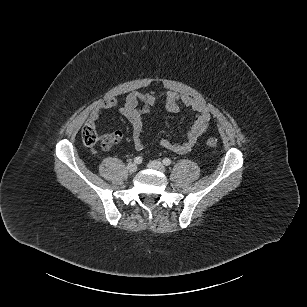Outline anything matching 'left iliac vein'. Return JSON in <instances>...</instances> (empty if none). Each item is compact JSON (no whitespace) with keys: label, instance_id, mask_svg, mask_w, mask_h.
Masks as SVG:
<instances>
[{"label":"left iliac vein","instance_id":"obj_1","mask_svg":"<svg viewBox=\"0 0 307 307\" xmlns=\"http://www.w3.org/2000/svg\"><path fill=\"white\" fill-rule=\"evenodd\" d=\"M148 168L160 171L162 173H165L166 171L165 166L160 161L157 160L150 161L148 163Z\"/></svg>","mask_w":307,"mask_h":307}]
</instances>
